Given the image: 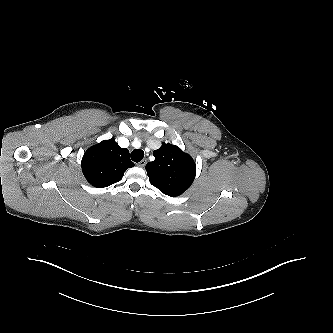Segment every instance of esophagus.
<instances>
[{
	"instance_id": "obj_1",
	"label": "esophagus",
	"mask_w": 333,
	"mask_h": 333,
	"mask_svg": "<svg viewBox=\"0 0 333 333\" xmlns=\"http://www.w3.org/2000/svg\"><path fill=\"white\" fill-rule=\"evenodd\" d=\"M146 164H147V159H143L138 163V166L145 167Z\"/></svg>"
}]
</instances>
